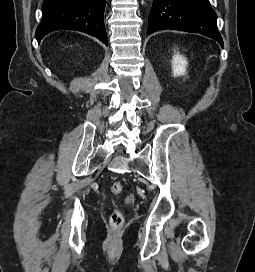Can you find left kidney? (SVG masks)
Listing matches in <instances>:
<instances>
[{
  "instance_id": "obj_1",
  "label": "left kidney",
  "mask_w": 255,
  "mask_h": 272,
  "mask_svg": "<svg viewBox=\"0 0 255 272\" xmlns=\"http://www.w3.org/2000/svg\"><path fill=\"white\" fill-rule=\"evenodd\" d=\"M187 60L184 56L178 53L173 56L172 60V72L173 76H182L186 74Z\"/></svg>"
}]
</instances>
